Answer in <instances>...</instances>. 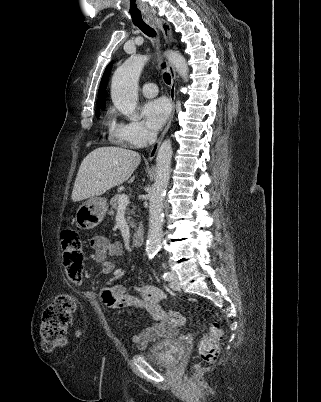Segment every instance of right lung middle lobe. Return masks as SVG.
Returning <instances> with one entry per match:
<instances>
[{"label":"right lung middle lobe","mask_w":321,"mask_h":402,"mask_svg":"<svg viewBox=\"0 0 321 402\" xmlns=\"http://www.w3.org/2000/svg\"><path fill=\"white\" fill-rule=\"evenodd\" d=\"M100 109H101V110H105V106L97 108V110H96V117H99V116H100Z\"/></svg>","instance_id":"right-lung-middle-lobe-1"}]
</instances>
